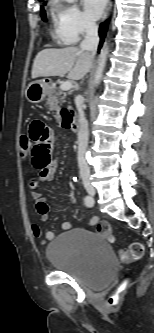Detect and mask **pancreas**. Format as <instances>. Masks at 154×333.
<instances>
[{"mask_svg":"<svg viewBox=\"0 0 154 333\" xmlns=\"http://www.w3.org/2000/svg\"><path fill=\"white\" fill-rule=\"evenodd\" d=\"M62 94H63V92L56 88L49 90L47 105L51 111L52 110H55L57 112L59 111V108H60L59 104L61 105L63 103V99H64V97H61ZM57 116H58V113H57Z\"/></svg>","mask_w":154,"mask_h":333,"instance_id":"cf45deb5","label":"pancreas"}]
</instances>
